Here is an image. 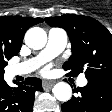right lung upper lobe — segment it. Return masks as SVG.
<instances>
[{
    "label": "right lung upper lobe",
    "mask_w": 112,
    "mask_h": 112,
    "mask_svg": "<svg viewBox=\"0 0 112 112\" xmlns=\"http://www.w3.org/2000/svg\"><path fill=\"white\" fill-rule=\"evenodd\" d=\"M43 21L42 18L21 16L0 17V48L20 49L27 29Z\"/></svg>",
    "instance_id": "obj_1"
}]
</instances>
